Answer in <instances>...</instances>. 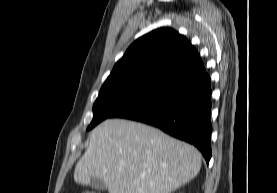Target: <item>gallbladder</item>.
I'll use <instances>...</instances> for the list:
<instances>
[{"label":"gallbladder","instance_id":"obj_1","mask_svg":"<svg viewBox=\"0 0 277 193\" xmlns=\"http://www.w3.org/2000/svg\"><path fill=\"white\" fill-rule=\"evenodd\" d=\"M89 185L96 190H105L107 188L100 178H92Z\"/></svg>","mask_w":277,"mask_h":193}]
</instances>
